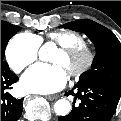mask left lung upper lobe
Returning <instances> with one entry per match:
<instances>
[{
    "mask_svg": "<svg viewBox=\"0 0 121 121\" xmlns=\"http://www.w3.org/2000/svg\"><path fill=\"white\" fill-rule=\"evenodd\" d=\"M62 27L83 32L96 48L91 69L81 75L78 84L101 82L121 92V43L118 38L109 29L88 19L73 21Z\"/></svg>",
    "mask_w": 121,
    "mask_h": 121,
    "instance_id": "left-lung-upper-lobe-1",
    "label": "left lung upper lobe"
}]
</instances>
